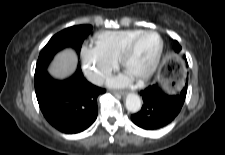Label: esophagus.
<instances>
[{"label": "esophagus", "mask_w": 225, "mask_h": 155, "mask_svg": "<svg viewBox=\"0 0 225 155\" xmlns=\"http://www.w3.org/2000/svg\"><path fill=\"white\" fill-rule=\"evenodd\" d=\"M114 93L116 95H122V96L126 95V92L125 91H114Z\"/></svg>", "instance_id": "1"}]
</instances>
